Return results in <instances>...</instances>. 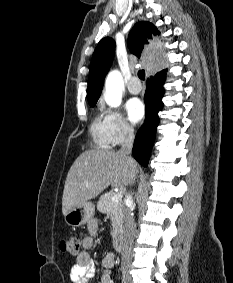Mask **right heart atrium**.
<instances>
[{"label": "right heart atrium", "instance_id": "right-heart-atrium-1", "mask_svg": "<svg viewBox=\"0 0 233 283\" xmlns=\"http://www.w3.org/2000/svg\"><path fill=\"white\" fill-rule=\"evenodd\" d=\"M105 112L113 144H122L133 137V127L122 113L109 109Z\"/></svg>", "mask_w": 233, "mask_h": 283}]
</instances>
